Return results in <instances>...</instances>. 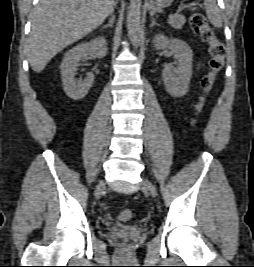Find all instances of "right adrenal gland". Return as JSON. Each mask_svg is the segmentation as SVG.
Wrapping results in <instances>:
<instances>
[{
  "instance_id": "2a0ac1e0",
  "label": "right adrenal gland",
  "mask_w": 254,
  "mask_h": 267,
  "mask_svg": "<svg viewBox=\"0 0 254 267\" xmlns=\"http://www.w3.org/2000/svg\"><path fill=\"white\" fill-rule=\"evenodd\" d=\"M114 22H115V17H114V15H112L110 20H109V23L104 25L103 29L108 28V27H113Z\"/></svg>"
}]
</instances>
